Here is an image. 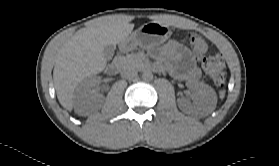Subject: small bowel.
<instances>
[{"mask_svg": "<svg viewBox=\"0 0 279 166\" xmlns=\"http://www.w3.org/2000/svg\"><path fill=\"white\" fill-rule=\"evenodd\" d=\"M157 56L175 62L178 65L174 67L169 63L159 62L155 65L156 69H162L167 66L174 75L188 79H195L200 74L195 65V59L190 55L187 48L177 40H172L164 45L157 53Z\"/></svg>", "mask_w": 279, "mask_h": 166, "instance_id": "1", "label": "small bowel"}]
</instances>
